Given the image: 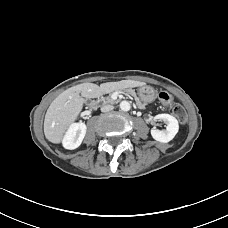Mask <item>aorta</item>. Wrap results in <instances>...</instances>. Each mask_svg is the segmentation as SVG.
<instances>
[{
    "instance_id": "1",
    "label": "aorta",
    "mask_w": 228,
    "mask_h": 228,
    "mask_svg": "<svg viewBox=\"0 0 228 228\" xmlns=\"http://www.w3.org/2000/svg\"><path fill=\"white\" fill-rule=\"evenodd\" d=\"M130 108H131V106H130V103L128 102V101H122L121 103H120V109L122 110V111H129L130 110Z\"/></svg>"
}]
</instances>
